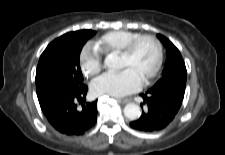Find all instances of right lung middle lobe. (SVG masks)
<instances>
[{
  "mask_svg": "<svg viewBox=\"0 0 225 155\" xmlns=\"http://www.w3.org/2000/svg\"><path fill=\"white\" fill-rule=\"evenodd\" d=\"M94 34V31L69 32L47 46L36 70L35 82L39 101L59 88H79L83 85L79 56L83 45Z\"/></svg>",
  "mask_w": 225,
  "mask_h": 155,
  "instance_id": "1",
  "label": "right lung middle lobe"
}]
</instances>
